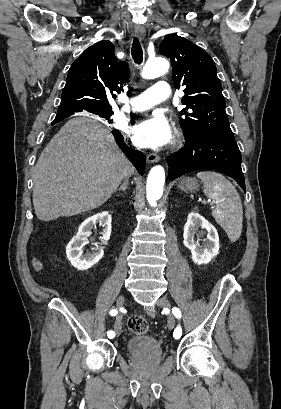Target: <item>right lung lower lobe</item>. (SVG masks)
<instances>
[{
	"label": "right lung lower lobe",
	"instance_id": "98d812e1",
	"mask_svg": "<svg viewBox=\"0 0 281 409\" xmlns=\"http://www.w3.org/2000/svg\"><path fill=\"white\" fill-rule=\"evenodd\" d=\"M74 112H58L56 115V118L53 122H59L61 120H63L64 118L72 115ZM115 140L118 144V146L123 150V152L128 156V158L131 160V162L134 164V166L136 167V169L138 170V172L140 174L144 173L145 170V157L144 155L136 150H132L130 149L123 140V136L121 135V133L117 130H113L112 131Z\"/></svg>",
	"mask_w": 281,
	"mask_h": 409
}]
</instances>
